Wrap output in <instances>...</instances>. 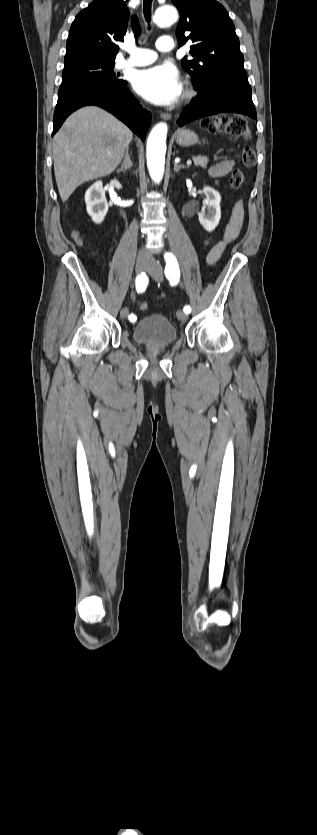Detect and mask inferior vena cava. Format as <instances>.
Instances as JSON below:
<instances>
[{
    "label": "inferior vena cava",
    "mask_w": 317,
    "mask_h": 835,
    "mask_svg": "<svg viewBox=\"0 0 317 835\" xmlns=\"http://www.w3.org/2000/svg\"><path fill=\"white\" fill-rule=\"evenodd\" d=\"M139 255H140V256H144V257H146L148 254H147L145 251H143V252H142V251H140V252H139Z\"/></svg>",
    "instance_id": "obj_1"
}]
</instances>
